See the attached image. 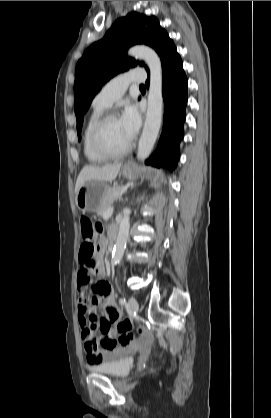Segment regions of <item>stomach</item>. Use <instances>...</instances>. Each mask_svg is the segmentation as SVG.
<instances>
[{
  "label": "stomach",
  "mask_w": 271,
  "mask_h": 418,
  "mask_svg": "<svg viewBox=\"0 0 271 418\" xmlns=\"http://www.w3.org/2000/svg\"><path fill=\"white\" fill-rule=\"evenodd\" d=\"M121 173L126 178L134 177V170L130 166H123ZM109 185L100 180H90L85 182L76 194V206L82 212L98 211Z\"/></svg>",
  "instance_id": "1"
}]
</instances>
